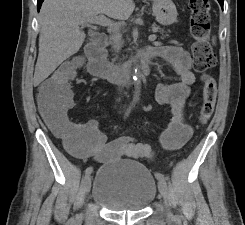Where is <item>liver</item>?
Segmentation results:
<instances>
[{"instance_id":"obj_1","label":"liver","mask_w":245,"mask_h":225,"mask_svg":"<svg viewBox=\"0 0 245 225\" xmlns=\"http://www.w3.org/2000/svg\"><path fill=\"white\" fill-rule=\"evenodd\" d=\"M135 8L133 0H45L39 12V54L34 83L45 80L63 61L81 48L83 20L105 14L127 20Z\"/></svg>"}]
</instances>
